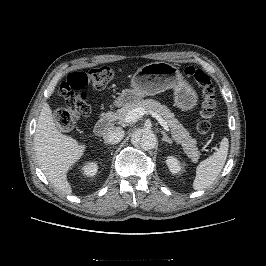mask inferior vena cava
Returning <instances> with one entry per match:
<instances>
[{"instance_id": "inferior-vena-cava-1", "label": "inferior vena cava", "mask_w": 266, "mask_h": 266, "mask_svg": "<svg viewBox=\"0 0 266 266\" xmlns=\"http://www.w3.org/2000/svg\"><path fill=\"white\" fill-rule=\"evenodd\" d=\"M124 137V130L121 127H110L103 135V139L108 144H117Z\"/></svg>"}]
</instances>
